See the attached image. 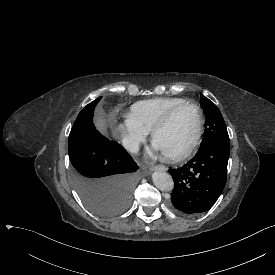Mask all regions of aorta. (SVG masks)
Returning a JSON list of instances; mask_svg holds the SVG:
<instances>
[{"label": "aorta", "mask_w": 275, "mask_h": 275, "mask_svg": "<svg viewBox=\"0 0 275 275\" xmlns=\"http://www.w3.org/2000/svg\"><path fill=\"white\" fill-rule=\"evenodd\" d=\"M153 184L162 191H170L173 188V180L167 172L157 170L151 174Z\"/></svg>", "instance_id": "aorta-1"}]
</instances>
